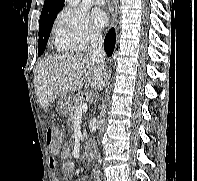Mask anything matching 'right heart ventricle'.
I'll return each mask as SVG.
<instances>
[{
    "mask_svg": "<svg viewBox=\"0 0 197 181\" xmlns=\"http://www.w3.org/2000/svg\"><path fill=\"white\" fill-rule=\"evenodd\" d=\"M53 48L59 52H67L71 49L66 39L61 36L56 30L53 38Z\"/></svg>",
    "mask_w": 197,
    "mask_h": 181,
    "instance_id": "right-heart-ventricle-1",
    "label": "right heart ventricle"
}]
</instances>
